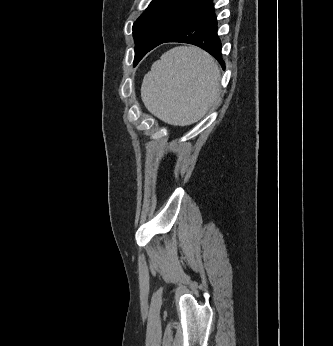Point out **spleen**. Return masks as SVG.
Listing matches in <instances>:
<instances>
[{
  "instance_id": "obj_1",
  "label": "spleen",
  "mask_w": 333,
  "mask_h": 346,
  "mask_svg": "<svg viewBox=\"0 0 333 346\" xmlns=\"http://www.w3.org/2000/svg\"><path fill=\"white\" fill-rule=\"evenodd\" d=\"M216 61L196 47H175L153 63L144 76L141 97L146 108L173 125L199 121L220 93Z\"/></svg>"
}]
</instances>
